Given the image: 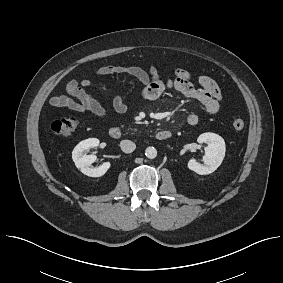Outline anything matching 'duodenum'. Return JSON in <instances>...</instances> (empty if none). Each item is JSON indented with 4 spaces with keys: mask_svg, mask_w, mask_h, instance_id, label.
<instances>
[{
    "mask_svg": "<svg viewBox=\"0 0 283 283\" xmlns=\"http://www.w3.org/2000/svg\"><path fill=\"white\" fill-rule=\"evenodd\" d=\"M109 135L112 139L118 140L121 138V130L118 127H113L109 131ZM172 133L169 130H161L156 133L158 140H167L171 137Z\"/></svg>",
    "mask_w": 283,
    "mask_h": 283,
    "instance_id": "410a0bca",
    "label": "duodenum"
}]
</instances>
